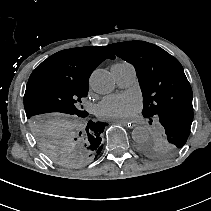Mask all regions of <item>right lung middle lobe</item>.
<instances>
[{
    "instance_id": "right-lung-middle-lobe-1",
    "label": "right lung middle lobe",
    "mask_w": 211,
    "mask_h": 211,
    "mask_svg": "<svg viewBox=\"0 0 211 211\" xmlns=\"http://www.w3.org/2000/svg\"><path fill=\"white\" fill-rule=\"evenodd\" d=\"M88 85L39 79L27 84L24 107L39 148L54 163L77 168L99 155L107 123L88 121L80 106Z\"/></svg>"
}]
</instances>
